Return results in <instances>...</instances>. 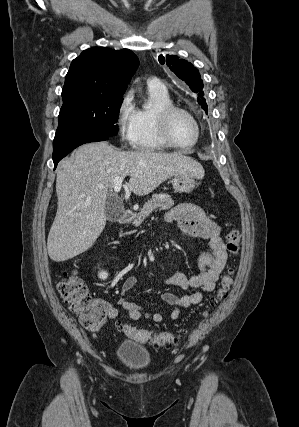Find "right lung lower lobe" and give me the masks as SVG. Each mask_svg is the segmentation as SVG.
I'll use <instances>...</instances> for the list:
<instances>
[{"label": "right lung lower lobe", "mask_w": 299, "mask_h": 427, "mask_svg": "<svg viewBox=\"0 0 299 427\" xmlns=\"http://www.w3.org/2000/svg\"><path fill=\"white\" fill-rule=\"evenodd\" d=\"M107 137H85V138H77L64 143H61L57 146L53 147V162L56 167L58 162L69 154L76 147L89 143V142H97L107 140Z\"/></svg>", "instance_id": "1"}]
</instances>
